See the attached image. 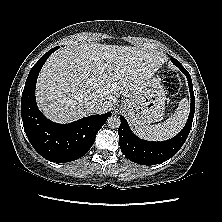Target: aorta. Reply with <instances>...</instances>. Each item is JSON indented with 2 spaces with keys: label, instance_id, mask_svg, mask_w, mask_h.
I'll return each instance as SVG.
<instances>
[{
  "label": "aorta",
  "instance_id": "aorta-1",
  "mask_svg": "<svg viewBox=\"0 0 222 222\" xmlns=\"http://www.w3.org/2000/svg\"><path fill=\"white\" fill-rule=\"evenodd\" d=\"M120 123H121L120 117L116 115L110 116L107 120L108 126L112 129L118 128L120 126Z\"/></svg>",
  "mask_w": 222,
  "mask_h": 222
}]
</instances>
